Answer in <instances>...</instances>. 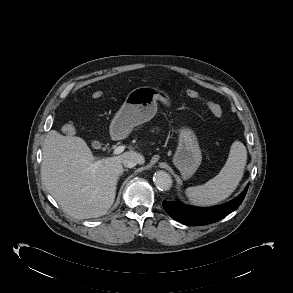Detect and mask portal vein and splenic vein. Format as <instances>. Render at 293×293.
<instances>
[{
    "label": "portal vein and splenic vein",
    "mask_w": 293,
    "mask_h": 293,
    "mask_svg": "<svg viewBox=\"0 0 293 293\" xmlns=\"http://www.w3.org/2000/svg\"><path fill=\"white\" fill-rule=\"evenodd\" d=\"M124 149H125V146H118V147H116L114 149V151H113V155H119V154H121L124 151ZM98 164L99 163L97 162L96 164L93 165V167L98 166Z\"/></svg>",
    "instance_id": "1"
}]
</instances>
